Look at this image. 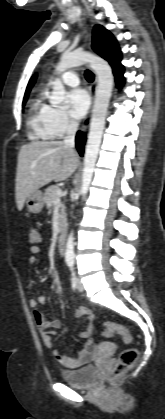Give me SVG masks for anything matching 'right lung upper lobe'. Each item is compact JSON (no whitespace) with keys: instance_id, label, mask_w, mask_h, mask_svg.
<instances>
[{"instance_id":"obj_1","label":"right lung upper lobe","mask_w":165,"mask_h":419,"mask_svg":"<svg viewBox=\"0 0 165 419\" xmlns=\"http://www.w3.org/2000/svg\"><path fill=\"white\" fill-rule=\"evenodd\" d=\"M35 80H36V75H34V76L30 79V81H29V83H28V86H27V89H26V92H25V96H24V97L28 96V93L30 92V90H31L32 86L34 85Z\"/></svg>"}]
</instances>
